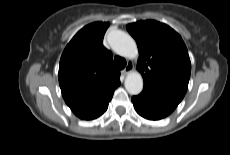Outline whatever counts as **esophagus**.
Wrapping results in <instances>:
<instances>
[{"instance_id": "obj_1", "label": "esophagus", "mask_w": 230, "mask_h": 155, "mask_svg": "<svg viewBox=\"0 0 230 155\" xmlns=\"http://www.w3.org/2000/svg\"><path fill=\"white\" fill-rule=\"evenodd\" d=\"M133 68H134V65H133V62H131V61H129L128 63H127V66L124 68V70L122 71L123 72V74H128L129 72H131L132 70H133Z\"/></svg>"}]
</instances>
